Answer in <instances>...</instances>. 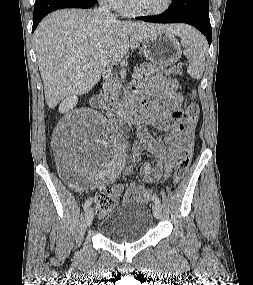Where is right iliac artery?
<instances>
[{
  "label": "right iliac artery",
  "mask_w": 253,
  "mask_h": 285,
  "mask_svg": "<svg viewBox=\"0 0 253 285\" xmlns=\"http://www.w3.org/2000/svg\"><path fill=\"white\" fill-rule=\"evenodd\" d=\"M91 203H92V199L91 198L86 200L84 205H83V209L87 210L89 208V206L91 205Z\"/></svg>",
  "instance_id": "right-iliac-artery-1"
}]
</instances>
